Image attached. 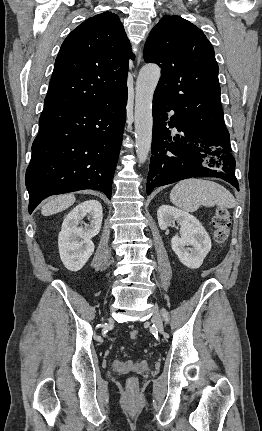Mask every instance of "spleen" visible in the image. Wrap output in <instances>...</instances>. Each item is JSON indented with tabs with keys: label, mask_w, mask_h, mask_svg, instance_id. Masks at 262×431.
<instances>
[{
	"label": "spleen",
	"mask_w": 262,
	"mask_h": 431,
	"mask_svg": "<svg viewBox=\"0 0 262 431\" xmlns=\"http://www.w3.org/2000/svg\"><path fill=\"white\" fill-rule=\"evenodd\" d=\"M171 202L186 212L196 211L200 205L233 208L234 196L218 183L203 179H186L178 182L170 192Z\"/></svg>",
	"instance_id": "3e777b00"
}]
</instances>
